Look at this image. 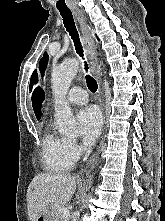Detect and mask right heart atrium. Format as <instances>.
I'll list each match as a JSON object with an SVG mask.
<instances>
[{"label": "right heart atrium", "instance_id": "right-heart-atrium-1", "mask_svg": "<svg viewBox=\"0 0 165 221\" xmlns=\"http://www.w3.org/2000/svg\"><path fill=\"white\" fill-rule=\"evenodd\" d=\"M68 147H69L70 152L73 155H75L76 157L81 152V147H80V145L75 140H68Z\"/></svg>", "mask_w": 165, "mask_h": 221}]
</instances>
